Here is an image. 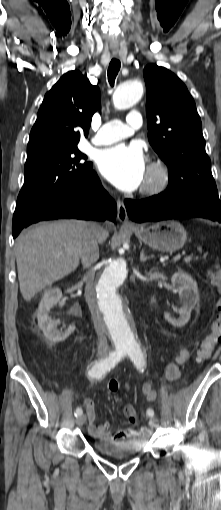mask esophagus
<instances>
[{
	"instance_id": "obj_1",
	"label": "esophagus",
	"mask_w": 221,
	"mask_h": 510,
	"mask_svg": "<svg viewBox=\"0 0 221 510\" xmlns=\"http://www.w3.org/2000/svg\"><path fill=\"white\" fill-rule=\"evenodd\" d=\"M117 217H118V220L123 225H127V226L132 225V223L128 220L127 210H126V207L122 201L118 203Z\"/></svg>"
}]
</instances>
